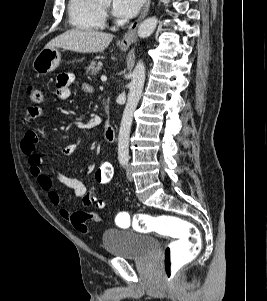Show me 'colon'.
Returning a JSON list of instances; mask_svg holds the SVG:
<instances>
[{
	"label": "colon",
	"mask_w": 267,
	"mask_h": 301,
	"mask_svg": "<svg viewBox=\"0 0 267 301\" xmlns=\"http://www.w3.org/2000/svg\"><path fill=\"white\" fill-rule=\"evenodd\" d=\"M30 100L34 104L43 101V93L37 87H30ZM114 175L110 162H102L95 171L94 180L100 185L109 184ZM90 202L102 208L103 202L92 192H88ZM117 223L123 227H131L140 233H157L168 236L172 241L165 247L162 255L163 278L171 282L177 272L188 262L193 260L200 250V235L194 224L182 218L170 215H150L146 213L130 214L120 212Z\"/></svg>",
	"instance_id": "obj_1"
}]
</instances>
